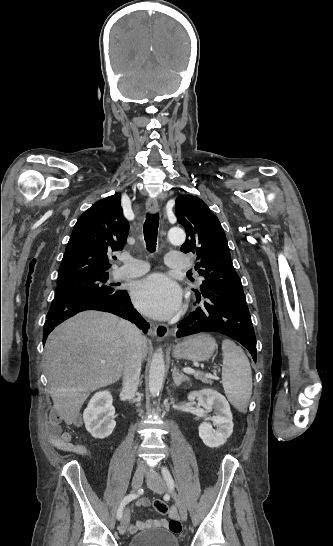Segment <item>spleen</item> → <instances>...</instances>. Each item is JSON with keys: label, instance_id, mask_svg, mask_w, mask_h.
<instances>
[{"label": "spleen", "instance_id": "3e777b00", "mask_svg": "<svg viewBox=\"0 0 333 546\" xmlns=\"http://www.w3.org/2000/svg\"><path fill=\"white\" fill-rule=\"evenodd\" d=\"M222 385L230 403L242 413L247 412L252 394V372L249 360L233 341L222 342Z\"/></svg>", "mask_w": 333, "mask_h": 546}]
</instances>
